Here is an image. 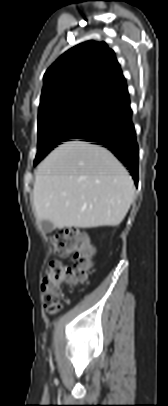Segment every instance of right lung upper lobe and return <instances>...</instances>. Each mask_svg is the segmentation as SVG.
<instances>
[{"mask_svg": "<svg viewBox=\"0 0 168 406\" xmlns=\"http://www.w3.org/2000/svg\"><path fill=\"white\" fill-rule=\"evenodd\" d=\"M127 91L114 51L87 41L61 55L46 71L38 119L84 101L108 103Z\"/></svg>", "mask_w": 168, "mask_h": 406, "instance_id": "obj_1", "label": "right lung upper lobe"}]
</instances>
